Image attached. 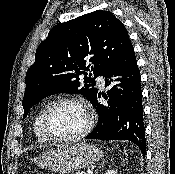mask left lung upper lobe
Wrapping results in <instances>:
<instances>
[{
  "label": "left lung upper lobe",
  "instance_id": "left-lung-upper-lobe-1",
  "mask_svg": "<svg viewBox=\"0 0 175 174\" xmlns=\"http://www.w3.org/2000/svg\"><path fill=\"white\" fill-rule=\"evenodd\" d=\"M131 43L127 30L109 11H95L53 27L26 73V118L39 100L57 93H80L90 102L103 76ZM84 74V85L79 75ZM93 76V78H92Z\"/></svg>",
  "mask_w": 175,
  "mask_h": 174
}]
</instances>
